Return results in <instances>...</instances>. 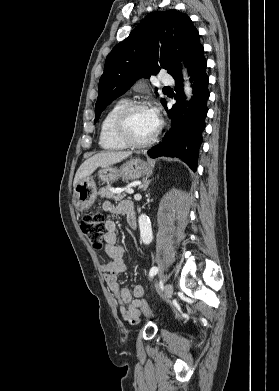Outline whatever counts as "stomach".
I'll return each instance as SVG.
<instances>
[{"label":"stomach","mask_w":279,"mask_h":391,"mask_svg":"<svg viewBox=\"0 0 279 391\" xmlns=\"http://www.w3.org/2000/svg\"><path fill=\"white\" fill-rule=\"evenodd\" d=\"M152 173L148 164L134 158L125 162L119 169L111 165L101 166L98 176L103 182L115 181L118 178L124 180H135L142 176H149ZM74 205L78 211L89 209L97 198V188L93 176L78 182L74 188Z\"/></svg>","instance_id":"0dacf381"}]
</instances>
